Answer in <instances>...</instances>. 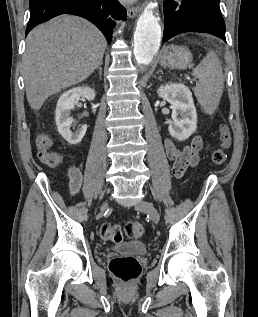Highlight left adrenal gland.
<instances>
[{"mask_svg": "<svg viewBox=\"0 0 258 317\" xmlns=\"http://www.w3.org/2000/svg\"><path fill=\"white\" fill-rule=\"evenodd\" d=\"M158 72H161V74H163V70H158Z\"/></svg>", "mask_w": 258, "mask_h": 317, "instance_id": "obj_1", "label": "left adrenal gland"}]
</instances>
